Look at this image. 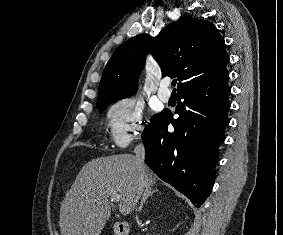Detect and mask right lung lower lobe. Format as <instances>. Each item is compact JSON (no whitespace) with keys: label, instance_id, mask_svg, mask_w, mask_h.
I'll use <instances>...</instances> for the list:
<instances>
[{"label":"right lung lower lobe","instance_id":"obj_1","mask_svg":"<svg viewBox=\"0 0 283 235\" xmlns=\"http://www.w3.org/2000/svg\"><path fill=\"white\" fill-rule=\"evenodd\" d=\"M228 78L225 71L182 87L175 111L179 118L172 119L171 113L163 111L142 134L150 169L197 207L213 187L218 147L225 140L224 130L229 124ZM170 121L173 133L167 130Z\"/></svg>","mask_w":283,"mask_h":235}]
</instances>
